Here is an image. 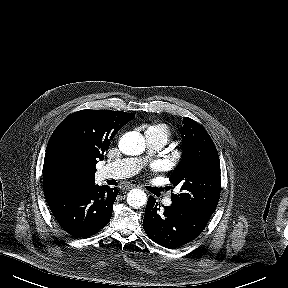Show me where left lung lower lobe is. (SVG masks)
Wrapping results in <instances>:
<instances>
[{"label":"left lung lower lobe","instance_id":"obj_1","mask_svg":"<svg viewBox=\"0 0 288 288\" xmlns=\"http://www.w3.org/2000/svg\"><path fill=\"white\" fill-rule=\"evenodd\" d=\"M159 205L150 196L143 228L153 241L166 248L180 247L198 237L211 217L198 209L175 202L163 206L164 210Z\"/></svg>","mask_w":288,"mask_h":288}]
</instances>
